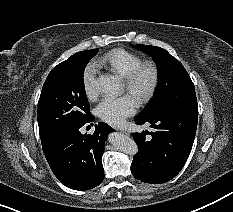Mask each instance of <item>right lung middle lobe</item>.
<instances>
[{"label": "right lung middle lobe", "instance_id": "right-lung-middle-lobe-1", "mask_svg": "<svg viewBox=\"0 0 233 212\" xmlns=\"http://www.w3.org/2000/svg\"><path fill=\"white\" fill-rule=\"evenodd\" d=\"M98 49L78 52L55 66L42 87L38 101L41 141L86 121L90 105L83 83V72Z\"/></svg>", "mask_w": 233, "mask_h": 212}]
</instances>
